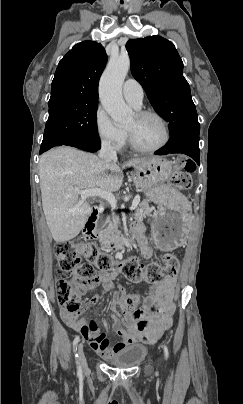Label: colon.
<instances>
[{"instance_id":"1","label":"colon","mask_w":243,"mask_h":404,"mask_svg":"<svg viewBox=\"0 0 243 404\" xmlns=\"http://www.w3.org/2000/svg\"><path fill=\"white\" fill-rule=\"evenodd\" d=\"M194 171L195 165L191 160L179 158L172 175L173 185L181 190L189 189ZM54 251L59 268L64 274L57 282V301L67 313L75 317L79 313L81 299L100 273L119 271L131 282L157 284L175 277L179 269L177 258L170 254L164 256V265L157 262L144 264L136 257L119 262L92 242H58ZM138 303V296L129 293L123 295L121 307L125 312H134Z\"/></svg>"}]
</instances>
